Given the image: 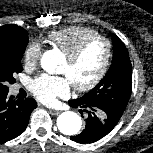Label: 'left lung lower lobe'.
I'll return each instance as SVG.
<instances>
[{
  "label": "left lung lower lobe",
  "mask_w": 153,
  "mask_h": 153,
  "mask_svg": "<svg viewBox=\"0 0 153 153\" xmlns=\"http://www.w3.org/2000/svg\"><path fill=\"white\" fill-rule=\"evenodd\" d=\"M69 105L87 109L83 111L88 113L85 129L80 134L70 137L71 140L77 143L88 144L96 142L106 136L118 123L92 105L83 104L78 100L69 101Z\"/></svg>",
  "instance_id": "left-lung-lower-lobe-1"
}]
</instances>
